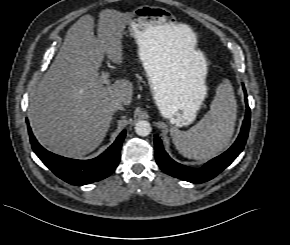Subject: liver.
I'll return each instance as SVG.
<instances>
[{
	"mask_svg": "<svg viewBox=\"0 0 290 245\" xmlns=\"http://www.w3.org/2000/svg\"><path fill=\"white\" fill-rule=\"evenodd\" d=\"M129 19L104 10L99 15L97 38L90 15L82 16L68 30L28 108L34 135L47 149L72 158L87 155L106 136L114 112L111 103L131 104L130 81L120 79L105 87L98 73L104 55L117 65L123 62L122 38ZM187 31L184 25H173L165 32L174 58L184 68L193 63L197 53Z\"/></svg>",
	"mask_w": 290,
	"mask_h": 245,
	"instance_id": "obj_1",
	"label": "liver"
}]
</instances>
